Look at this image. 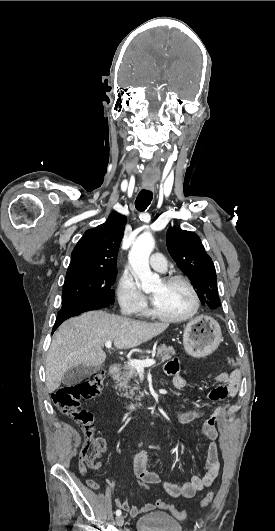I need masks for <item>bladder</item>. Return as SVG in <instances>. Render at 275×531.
Masks as SVG:
<instances>
[{
    "instance_id": "1",
    "label": "bladder",
    "mask_w": 275,
    "mask_h": 531,
    "mask_svg": "<svg viewBox=\"0 0 275 531\" xmlns=\"http://www.w3.org/2000/svg\"><path fill=\"white\" fill-rule=\"evenodd\" d=\"M134 531H181V522L165 511L149 512L137 519Z\"/></svg>"
}]
</instances>
